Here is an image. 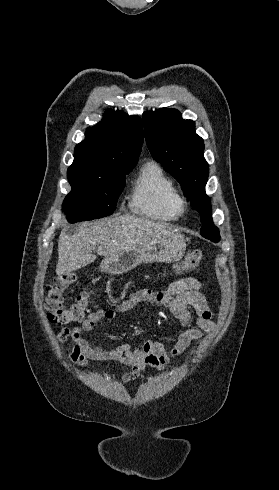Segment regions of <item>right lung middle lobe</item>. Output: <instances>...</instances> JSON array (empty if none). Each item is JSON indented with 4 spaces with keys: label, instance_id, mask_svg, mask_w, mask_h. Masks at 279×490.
I'll use <instances>...</instances> for the list:
<instances>
[{
    "label": "right lung middle lobe",
    "instance_id": "dd1d6c3e",
    "mask_svg": "<svg viewBox=\"0 0 279 490\" xmlns=\"http://www.w3.org/2000/svg\"><path fill=\"white\" fill-rule=\"evenodd\" d=\"M135 165L110 171L104 175L68 173L71 192L63 202L69 223L102 218L112 214L125 186V175Z\"/></svg>",
    "mask_w": 279,
    "mask_h": 490
}]
</instances>
